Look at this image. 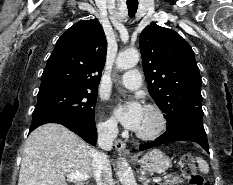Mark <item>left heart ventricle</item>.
<instances>
[{
    "instance_id": "b2bd125f",
    "label": "left heart ventricle",
    "mask_w": 233,
    "mask_h": 185,
    "mask_svg": "<svg viewBox=\"0 0 233 185\" xmlns=\"http://www.w3.org/2000/svg\"><path fill=\"white\" fill-rule=\"evenodd\" d=\"M157 124V116L153 112L144 109L143 117L137 132L149 133L156 128Z\"/></svg>"
}]
</instances>
